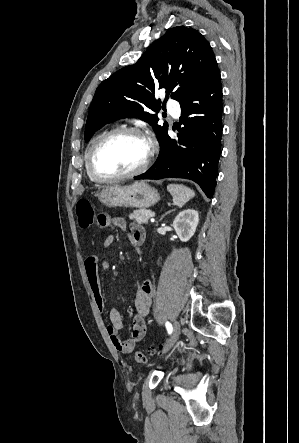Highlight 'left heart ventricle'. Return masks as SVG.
Segmentation results:
<instances>
[{
	"label": "left heart ventricle",
	"instance_id": "b2bd125f",
	"mask_svg": "<svg viewBox=\"0 0 299 443\" xmlns=\"http://www.w3.org/2000/svg\"><path fill=\"white\" fill-rule=\"evenodd\" d=\"M148 151L146 140L136 134H123L103 143L94 157V166L103 176H114L139 166Z\"/></svg>",
	"mask_w": 299,
	"mask_h": 443
}]
</instances>
